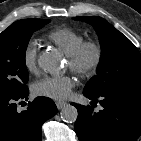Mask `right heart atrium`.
<instances>
[{
  "label": "right heart atrium",
  "instance_id": "1",
  "mask_svg": "<svg viewBox=\"0 0 141 141\" xmlns=\"http://www.w3.org/2000/svg\"><path fill=\"white\" fill-rule=\"evenodd\" d=\"M24 68L28 73H36L37 72V48L34 43H28L22 55Z\"/></svg>",
  "mask_w": 141,
  "mask_h": 141
}]
</instances>
